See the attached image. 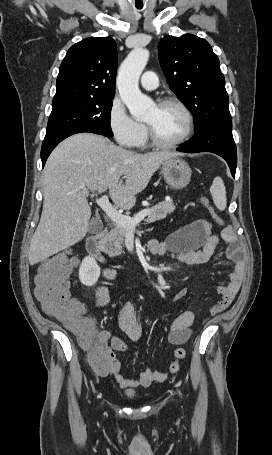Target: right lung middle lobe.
<instances>
[{"label":"right lung middle lobe","mask_w":272,"mask_h":455,"mask_svg":"<svg viewBox=\"0 0 272 455\" xmlns=\"http://www.w3.org/2000/svg\"><path fill=\"white\" fill-rule=\"evenodd\" d=\"M110 97H81L55 100L52 102L47 133L67 128H92L111 138Z\"/></svg>","instance_id":"right-lung-middle-lobe-1"}]
</instances>
